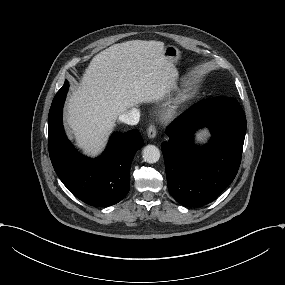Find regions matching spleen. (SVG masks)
<instances>
[{
    "label": "spleen",
    "mask_w": 285,
    "mask_h": 285,
    "mask_svg": "<svg viewBox=\"0 0 285 285\" xmlns=\"http://www.w3.org/2000/svg\"><path fill=\"white\" fill-rule=\"evenodd\" d=\"M208 136H209V132L208 130L205 129L197 134V140L205 141Z\"/></svg>",
    "instance_id": "1"
}]
</instances>
